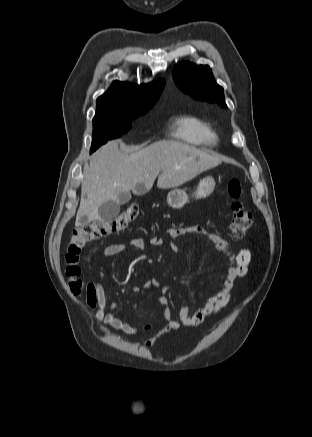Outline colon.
I'll return each instance as SVG.
<instances>
[{"mask_svg": "<svg viewBox=\"0 0 312 437\" xmlns=\"http://www.w3.org/2000/svg\"><path fill=\"white\" fill-rule=\"evenodd\" d=\"M228 195L232 199L233 217L230 224L232 236L244 237L250 230L252 218L242 200V186L238 179L230 180ZM139 214L136 203L128 204L117 216L110 219H96L75 229L70 236L65 250L67 263L66 275L68 286L73 295L79 296L87 289V282L81 277L80 255L86 244L101 237L123 230Z\"/></svg>", "mask_w": 312, "mask_h": 437, "instance_id": "colon-1", "label": "colon"}]
</instances>
